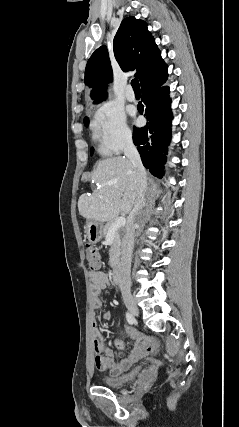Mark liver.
<instances>
[{"label": "liver", "instance_id": "obj_1", "mask_svg": "<svg viewBox=\"0 0 239 427\" xmlns=\"http://www.w3.org/2000/svg\"><path fill=\"white\" fill-rule=\"evenodd\" d=\"M91 179L97 187L91 194L79 197L81 216L103 223L132 211L138 196V176L128 158L118 156L99 161Z\"/></svg>", "mask_w": 239, "mask_h": 427}]
</instances>
